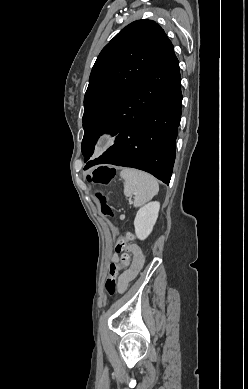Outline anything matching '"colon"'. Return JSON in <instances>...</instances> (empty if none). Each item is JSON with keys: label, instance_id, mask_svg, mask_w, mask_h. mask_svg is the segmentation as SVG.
<instances>
[{"label": "colon", "instance_id": "obj_1", "mask_svg": "<svg viewBox=\"0 0 248 389\" xmlns=\"http://www.w3.org/2000/svg\"><path fill=\"white\" fill-rule=\"evenodd\" d=\"M115 177V173L112 169L101 166L95 169L91 174L88 175V179L90 182L102 185V186H108L111 184ZM103 211L106 214H110V209L108 206L103 202ZM134 236L131 233H127L124 238L120 239L116 244V251L120 252L123 250L124 245L133 240ZM130 262V255L128 253H123L121 256V262L119 264H111L109 268V274L106 280L105 288L109 295H112L115 293L116 290H118V283H117V275L120 270H122L124 267H126Z\"/></svg>", "mask_w": 248, "mask_h": 389}]
</instances>
